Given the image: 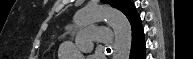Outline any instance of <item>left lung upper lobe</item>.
<instances>
[{"instance_id":"obj_1","label":"left lung upper lobe","mask_w":193,"mask_h":59,"mask_svg":"<svg viewBox=\"0 0 193 59\" xmlns=\"http://www.w3.org/2000/svg\"><path fill=\"white\" fill-rule=\"evenodd\" d=\"M105 4H109L114 8L122 11L129 18L135 11V6L130 0H101Z\"/></svg>"}]
</instances>
